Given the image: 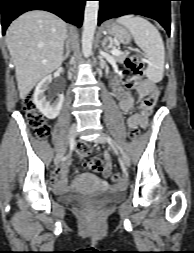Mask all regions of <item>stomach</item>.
Segmentation results:
<instances>
[{
  "label": "stomach",
  "instance_id": "stomach-1",
  "mask_svg": "<svg viewBox=\"0 0 194 253\" xmlns=\"http://www.w3.org/2000/svg\"><path fill=\"white\" fill-rule=\"evenodd\" d=\"M104 31L118 43L126 45L131 42V33L117 23H108L105 25Z\"/></svg>",
  "mask_w": 194,
  "mask_h": 253
}]
</instances>
